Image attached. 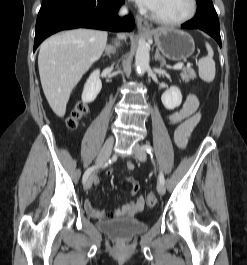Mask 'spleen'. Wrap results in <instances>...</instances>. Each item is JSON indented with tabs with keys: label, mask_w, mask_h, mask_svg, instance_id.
Wrapping results in <instances>:
<instances>
[{
	"label": "spleen",
	"mask_w": 247,
	"mask_h": 265,
	"mask_svg": "<svg viewBox=\"0 0 247 265\" xmlns=\"http://www.w3.org/2000/svg\"><path fill=\"white\" fill-rule=\"evenodd\" d=\"M207 49V56L203 57L198 62L199 77L205 82H212L215 78V62L213 60V49L209 43H205Z\"/></svg>",
	"instance_id": "1"
}]
</instances>
